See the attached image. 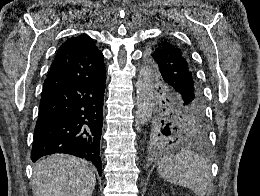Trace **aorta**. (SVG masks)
<instances>
[{"mask_svg":"<svg viewBox=\"0 0 260 196\" xmlns=\"http://www.w3.org/2000/svg\"><path fill=\"white\" fill-rule=\"evenodd\" d=\"M137 115L146 124L153 111V80L148 67H142L136 82Z\"/></svg>","mask_w":260,"mask_h":196,"instance_id":"1","label":"aorta"}]
</instances>
